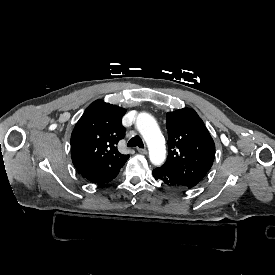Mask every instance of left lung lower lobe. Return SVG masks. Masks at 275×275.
I'll list each match as a JSON object with an SVG mask.
<instances>
[{"instance_id": "1", "label": "left lung lower lobe", "mask_w": 275, "mask_h": 275, "mask_svg": "<svg viewBox=\"0 0 275 275\" xmlns=\"http://www.w3.org/2000/svg\"><path fill=\"white\" fill-rule=\"evenodd\" d=\"M153 176L163 186L169 189L176 191H185L189 189L176 175H174L170 170L164 168L163 166L154 169Z\"/></svg>"}]
</instances>
